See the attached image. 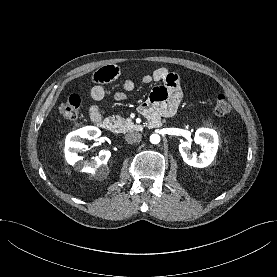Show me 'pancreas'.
Listing matches in <instances>:
<instances>
[{
    "mask_svg": "<svg viewBox=\"0 0 277 277\" xmlns=\"http://www.w3.org/2000/svg\"><path fill=\"white\" fill-rule=\"evenodd\" d=\"M111 120L114 122L113 127L117 133H126L137 129V126L133 123H129L126 119L120 115L112 116Z\"/></svg>",
    "mask_w": 277,
    "mask_h": 277,
    "instance_id": "obj_1",
    "label": "pancreas"
}]
</instances>
